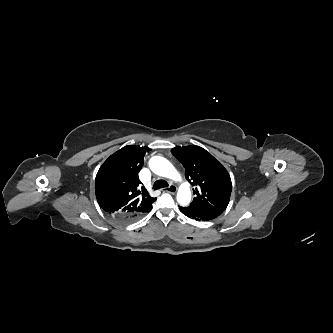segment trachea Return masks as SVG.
Returning <instances> with one entry per match:
<instances>
[{"mask_svg": "<svg viewBox=\"0 0 333 333\" xmlns=\"http://www.w3.org/2000/svg\"><path fill=\"white\" fill-rule=\"evenodd\" d=\"M168 183L167 181L165 180H157L155 181L154 185H153V188L154 190H157V189H160V188H165V187H168Z\"/></svg>", "mask_w": 333, "mask_h": 333, "instance_id": "trachea-1", "label": "trachea"}]
</instances>
